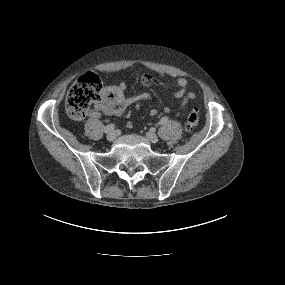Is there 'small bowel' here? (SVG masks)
<instances>
[{
	"label": "small bowel",
	"mask_w": 285,
	"mask_h": 285,
	"mask_svg": "<svg viewBox=\"0 0 285 285\" xmlns=\"http://www.w3.org/2000/svg\"><path fill=\"white\" fill-rule=\"evenodd\" d=\"M140 82L144 87H150L153 85V77L149 74H143L140 78ZM188 81L185 78H179L177 80V89L174 92V96L179 99V108L185 109L189 103L196 99V94L194 92H188ZM127 85L124 81L119 82L113 86H106L102 90L101 99L94 105V117H100L101 114L110 116H120L122 115L131 105L146 102L150 100V94L143 92L133 96H126L125 90ZM163 111L166 114H170L171 108L169 106H164ZM158 114L156 109H152L149 115L154 117ZM127 126L129 128L133 127L132 122H128Z\"/></svg>",
	"instance_id": "1"
}]
</instances>
